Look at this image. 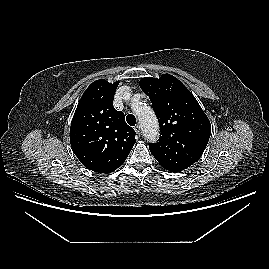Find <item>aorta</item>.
<instances>
[{
    "label": "aorta",
    "mask_w": 269,
    "mask_h": 269,
    "mask_svg": "<svg viewBox=\"0 0 269 269\" xmlns=\"http://www.w3.org/2000/svg\"><path fill=\"white\" fill-rule=\"evenodd\" d=\"M132 106L141 123L143 136L148 141L154 142L159 134V123L153 109L139 102H135Z\"/></svg>",
    "instance_id": "762f6f07"
}]
</instances>
